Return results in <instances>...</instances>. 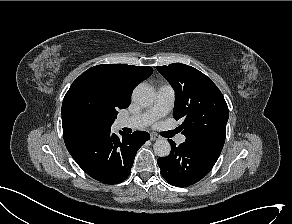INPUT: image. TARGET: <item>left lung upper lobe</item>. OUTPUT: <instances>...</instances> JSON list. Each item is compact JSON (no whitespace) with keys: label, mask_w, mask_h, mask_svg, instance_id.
Masks as SVG:
<instances>
[{"label":"left lung upper lobe","mask_w":292,"mask_h":224,"mask_svg":"<svg viewBox=\"0 0 292 224\" xmlns=\"http://www.w3.org/2000/svg\"><path fill=\"white\" fill-rule=\"evenodd\" d=\"M175 90L174 118L185 143L219 157L229 117L226 101L209 77L181 63L156 67Z\"/></svg>","instance_id":"1"}]
</instances>
